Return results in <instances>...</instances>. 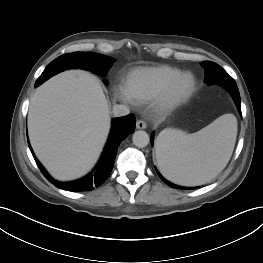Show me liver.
Wrapping results in <instances>:
<instances>
[{
    "label": "liver",
    "instance_id": "1",
    "mask_svg": "<svg viewBox=\"0 0 263 263\" xmlns=\"http://www.w3.org/2000/svg\"><path fill=\"white\" fill-rule=\"evenodd\" d=\"M110 130V109L98 78L62 72L37 88L28 112L31 146L48 172L67 181L96 163Z\"/></svg>",
    "mask_w": 263,
    "mask_h": 263
}]
</instances>
